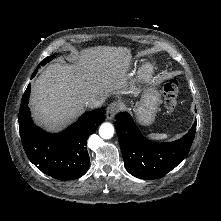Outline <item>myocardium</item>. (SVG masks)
I'll return each instance as SVG.
<instances>
[{
	"mask_svg": "<svg viewBox=\"0 0 221 221\" xmlns=\"http://www.w3.org/2000/svg\"><path fill=\"white\" fill-rule=\"evenodd\" d=\"M154 72V68L150 63H146L142 66L140 70V76L143 79H149Z\"/></svg>",
	"mask_w": 221,
	"mask_h": 221,
	"instance_id": "f54148a6",
	"label": "myocardium"
}]
</instances>
